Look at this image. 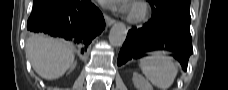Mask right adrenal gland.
Returning a JSON list of instances; mask_svg holds the SVG:
<instances>
[{"label":"right adrenal gland","mask_w":228,"mask_h":90,"mask_svg":"<svg viewBox=\"0 0 228 90\" xmlns=\"http://www.w3.org/2000/svg\"><path fill=\"white\" fill-rule=\"evenodd\" d=\"M74 67H75V65H74V66H72L71 71L74 69Z\"/></svg>","instance_id":"1"}]
</instances>
